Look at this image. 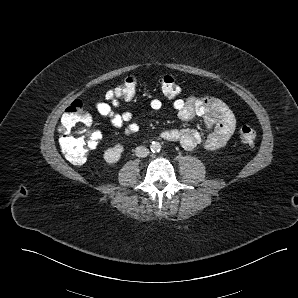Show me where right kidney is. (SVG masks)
<instances>
[{
	"instance_id": "right-kidney-1",
	"label": "right kidney",
	"mask_w": 298,
	"mask_h": 298,
	"mask_svg": "<svg viewBox=\"0 0 298 298\" xmlns=\"http://www.w3.org/2000/svg\"><path fill=\"white\" fill-rule=\"evenodd\" d=\"M124 151V147L120 144L115 145L112 148H108L105 152H104V160L109 163H116L119 161L120 157H121V153Z\"/></svg>"
}]
</instances>
